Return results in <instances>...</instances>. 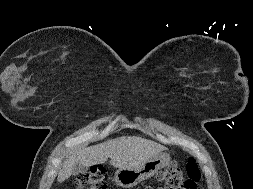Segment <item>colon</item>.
<instances>
[{"label": "colon", "instance_id": "1", "mask_svg": "<svg viewBox=\"0 0 253 189\" xmlns=\"http://www.w3.org/2000/svg\"><path fill=\"white\" fill-rule=\"evenodd\" d=\"M166 189H196L201 172L194 158H189L185 173L176 165L170 164L158 175ZM106 169L101 165L91 167L79 175L75 181V189H106Z\"/></svg>", "mask_w": 253, "mask_h": 189}]
</instances>
